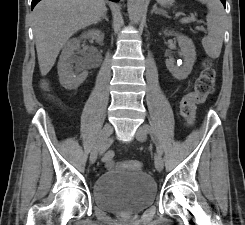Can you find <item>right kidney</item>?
I'll use <instances>...</instances> for the list:
<instances>
[{
    "label": "right kidney",
    "mask_w": 245,
    "mask_h": 225,
    "mask_svg": "<svg viewBox=\"0 0 245 225\" xmlns=\"http://www.w3.org/2000/svg\"><path fill=\"white\" fill-rule=\"evenodd\" d=\"M92 38L98 43H102L104 35L99 30H90L83 33L80 38H73L66 43L58 62L59 81L68 90L77 89L87 78L88 72L82 71L83 61L75 55V51L80 47V40ZM75 63V66L73 65ZM82 71V72H81Z\"/></svg>",
    "instance_id": "ca27d5eb"
}]
</instances>
